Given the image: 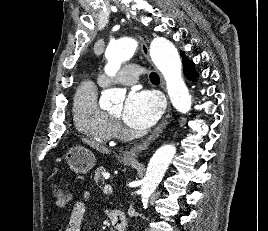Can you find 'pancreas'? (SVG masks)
<instances>
[{
	"label": "pancreas",
	"instance_id": "obj_1",
	"mask_svg": "<svg viewBox=\"0 0 268 231\" xmlns=\"http://www.w3.org/2000/svg\"><path fill=\"white\" fill-rule=\"evenodd\" d=\"M103 171H105L104 167H99L96 169L95 176H94V180H95L96 184H103L104 183V179L102 177Z\"/></svg>",
	"mask_w": 268,
	"mask_h": 231
}]
</instances>
